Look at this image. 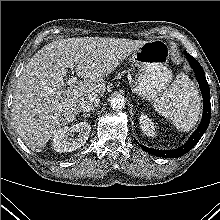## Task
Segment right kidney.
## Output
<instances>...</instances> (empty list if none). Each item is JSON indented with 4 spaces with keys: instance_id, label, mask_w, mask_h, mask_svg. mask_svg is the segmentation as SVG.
Returning <instances> with one entry per match:
<instances>
[{
    "instance_id": "ca27d5eb",
    "label": "right kidney",
    "mask_w": 220,
    "mask_h": 220,
    "mask_svg": "<svg viewBox=\"0 0 220 220\" xmlns=\"http://www.w3.org/2000/svg\"><path fill=\"white\" fill-rule=\"evenodd\" d=\"M90 130V124L85 121L70 127L65 126L54 134L52 146L56 152L74 151L86 143ZM75 132L78 133L76 137L73 136Z\"/></svg>"
}]
</instances>
